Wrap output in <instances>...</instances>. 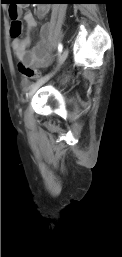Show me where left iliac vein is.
<instances>
[{
    "label": "left iliac vein",
    "instance_id": "4c4485c4",
    "mask_svg": "<svg viewBox=\"0 0 122 257\" xmlns=\"http://www.w3.org/2000/svg\"><path fill=\"white\" fill-rule=\"evenodd\" d=\"M68 56V49H65L60 57H59V60H58V64H57V67L55 68V70L49 74H47L46 76L40 78L36 83H34L29 91L27 92V98H31L35 92L44 84L46 83L52 76L53 74L60 68V66L65 62L66 58Z\"/></svg>",
    "mask_w": 122,
    "mask_h": 257
}]
</instances>
